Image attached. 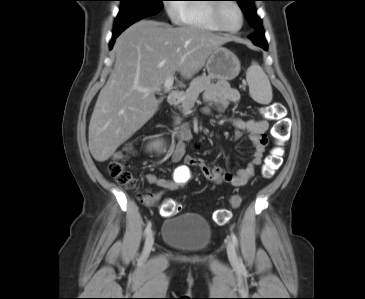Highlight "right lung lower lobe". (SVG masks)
Segmentation results:
<instances>
[{"instance_id":"98d812e1","label":"right lung lower lobe","mask_w":365,"mask_h":299,"mask_svg":"<svg viewBox=\"0 0 365 299\" xmlns=\"http://www.w3.org/2000/svg\"><path fill=\"white\" fill-rule=\"evenodd\" d=\"M141 20V19H140ZM139 20H132V21H125L122 23H118L114 25V30H113V36L112 39L110 41V49L113 47V44L116 40V38L126 29L128 28L130 25H132L133 23L137 22Z\"/></svg>"}]
</instances>
